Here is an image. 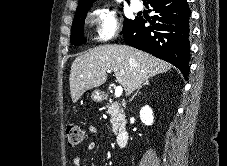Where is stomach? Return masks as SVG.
I'll return each instance as SVG.
<instances>
[{
    "label": "stomach",
    "instance_id": "1",
    "mask_svg": "<svg viewBox=\"0 0 227 166\" xmlns=\"http://www.w3.org/2000/svg\"><path fill=\"white\" fill-rule=\"evenodd\" d=\"M91 98L95 102H101L104 100V93L100 90H94L91 94Z\"/></svg>",
    "mask_w": 227,
    "mask_h": 166
}]
</instances>
